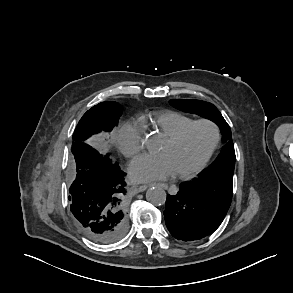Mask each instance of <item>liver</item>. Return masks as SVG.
I'll return each mask as SVG.
<instances>
[{
    "label": "liver",
    "instance_id": "liver-1",
    "mask_svg": "<svg viewBox=\"0 0 293 293\" xmlns=\"http://www.w3.org/2000/svg\"><path fill=\"white\" fill-rule=\"evenodd\" d=\"M91 144L95 148H102L103 147V145H102V139L99 138V137H93Z\"/></svg>",
    "mask_w": 293,
    "mask_h": 293
}]
</instances>
